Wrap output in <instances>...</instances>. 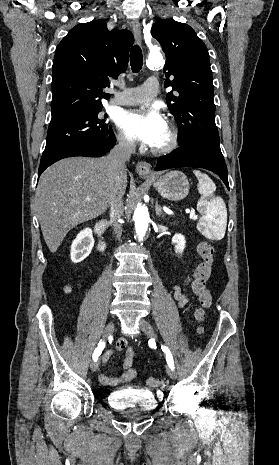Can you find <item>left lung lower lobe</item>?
<instances>
[{"label":"left lung lower lobe","mask_w":279,"mask_h":465,"mask_svg":"<svg viewBox=\"0 0 279 465\" xmlns=\"http://www.w3.org/2000/svg\"><path fill=\"white\" fill-rule=\"evenodd\" d=\"M175 167H198L210 170L216 173L229 189L227 166L224 158L202 148L181 146L170 154L160 157L155 170Z\"/></svg>","instance_id":"0a47b994"}]
</instances>
